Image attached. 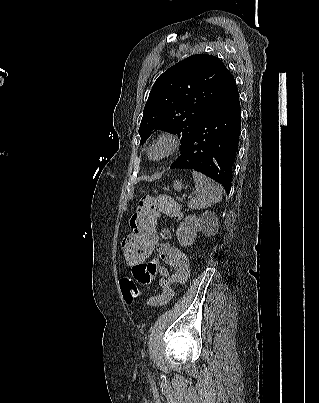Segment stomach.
<instances>
[{
    "label": "stomach",
    "mask_w": 319,
    "mask_h": 403,
    "mask_svg": "<svg viewBox=\"0 0 319 403\" xmlns=\"http://www.w3.org/2000/svg\"><path fill=\"white\" fill-rule=\"evenodd\" d=\"M173 187L180 191L183 188V184L180 181L175 180V182L173 183Z\"/></svg>",
    "instance_id": "stomach-1"
}]
</instances>
